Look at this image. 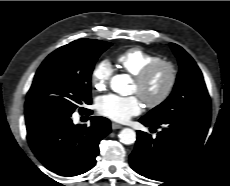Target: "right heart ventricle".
Listing matches in <instances>:
<instances>
[{
  "mask_svg": "<svg viewBox=\"0 0 230 186\" xmlns=\"http://www.w3.org/2000/svg\"><path fill=\"white\" fill-rule=\"evenodd\" d=\"M159 60H161L159 55L139 47L129 48L116 57L118 66L133 76Z\"/></svg>",
  "mask_w": 230,
  "mask_h": 186,
  "instance_id": "right-heart-ventricle-1",
  "label": "right heart ventricle"
}]
</instances>
